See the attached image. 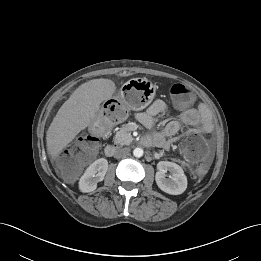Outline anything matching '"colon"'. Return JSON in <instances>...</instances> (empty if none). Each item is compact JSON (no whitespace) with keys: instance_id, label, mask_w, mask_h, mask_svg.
Segmentation results:
<instances>
[{"instance_id":"colon-1","label":"colon","mask_w":261,"mask_h":261,"mask_svg":"<svg viewBox=\"0 0 261 261\" xmlns=\"http://www.w3.org/2000/svg\"><path fill=\"white\" fill-rule=\"evenodd\" d=\"M171 95L174 102L179 106H188L194 99L191 90L183 84H174L171 87ZM108 116L109 121H117L123 118V114L117 109H108ZM107 131L108 125L103 123L92 133L83 136L73 148L58 158V168L65 178L73 179L79 174L84 163L96 153L100 138ZM184 150L191 158H199L204 152V144L198 137H193L184 145Z\"/></svg>"}]
</instances>
